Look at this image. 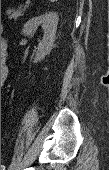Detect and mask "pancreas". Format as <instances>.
<instances>
[{
	"label": "pancreas",
	"instance_id": "cf45deb5",
	"mask_svg": "<svg viewBox=\"0 0 109 170\" xmlns=\"http://www.w3.org/2000/svg\"><path fill=\"white\" fill-rule=\"evenodd\" d=\"M25 9H23L24 11ZM23 11H21L20 8L18 9H8L7 10V15L9 19H17L18 17L23 15Z\"/></svg>",
	"mask_w": 109,
	"mask_h": 170
}]
</instances>
